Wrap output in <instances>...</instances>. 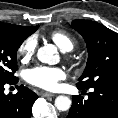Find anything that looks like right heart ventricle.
Instances as JSON below:
<instances>
[{"mask_svg":"<svg viewBox=\"0 0 118 118\" xmlns=\"http://www.w3.org/2000/svg\"><path fill=\"white\" fill-rule=\"evenodd\" d=\"M49 37L63 52L71 51L75 46L73 37L63 30H54Z\"/></svg>","mask_w":118,"mask_h":118,"instance_id":"right-heart-ventricle-1","label":"right heart ventricle"}]
</instances>
